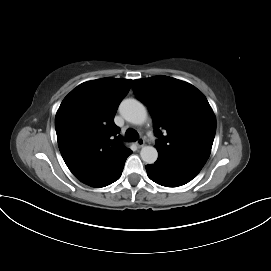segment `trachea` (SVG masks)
I'll use <instances>...</instances> for the list:
<instances>
[{
	"instance_id": "trachea-1",
	"label": "trachea",
	"mask_w": 271,
	"mask_h": 271,
	"mask_svg": "<svg viewBox=\"0 0 271 271\" xmlns=\"http://www.w3.org/2000/svg\"><path fill=\"white\" fill-rule=\"evenodd\" d=\"M125 137L127 141L134 142L139 138V134L134 129H128L125 133Z\"/></svg>"
}]
</instances>
